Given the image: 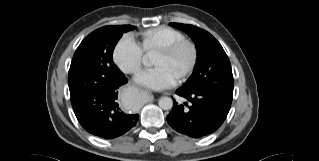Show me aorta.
Masks as SVG:
<instances>
[{
	"label": "aorta",
	"instance_id": "aorta-1",
	"mask_svg": "<svg viewBox=\"0 0 319 161\" xmlns=\"http://www.w3.org/2000/svg\"><path fill=\"white\" fill-rule=\"evenodd\" d=\"M158 104L163 110H170L173 107V100L170 97H161Z\"/></svg>",
	"mask_w": 319,
	"mask_h": 161
}]
</instances>
